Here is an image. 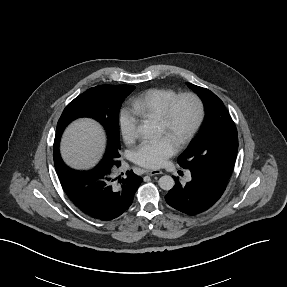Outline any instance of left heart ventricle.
<instances>
[{"label":"left heart ventricle","instance_id":"obj_1","mask_svg":"<svg viewBox=\"0 0 287 287\" xmlns=\"http://www.w3.org/2000/svg\"><path fill=\"white\" fill-rule=\"evenodd\" d=\"M194 107L188 100L180 101L174 112L173 126L170 134L167 135L176 145L179 138L187 131L194 118ZM159 133L164 134V130L161 125H158Z\"/></svg>","mask_w":287,"mask_h":287}]
</instances>
